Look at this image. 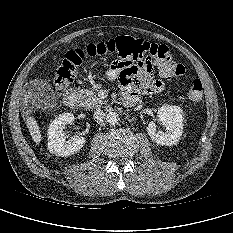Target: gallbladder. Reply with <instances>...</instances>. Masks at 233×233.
Returning <instances> with one entry per match:
<instances>
[{
  "label": "gallbladder",
  "mask_w": 233,
  "mask_h": 233,
  "mask_svg": "<svg viewBox=\"0 0 233 233\" xmlns=\"http://www.w3.org/2000/svg\"><path fill=\"white\" fill-rule=\"evenodd\" d=\"M34 96L38 97L46 105H51L54 101V91L51 85L44 80L36 79L29 83Z\"/></svg>",
  "instance_id": "1"
}]
</instances>
